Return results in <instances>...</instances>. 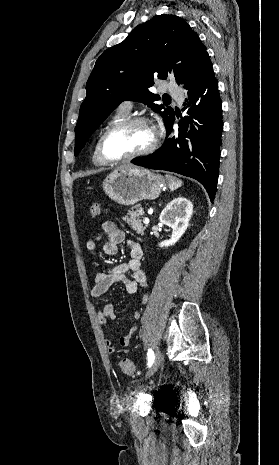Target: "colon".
<instances>
[{"instance_id": "obj_1", "label": "colon", "mask_w": 279, "mask_h": 465, "mask_svg": "<svg viewBox=\"0 0 279 465\" xmlns=\"http://www.w3.org/2000/svg\"><path fill=\"white\" fill-rule=\"evenodd\" d=\"M103 213V208L99 203H92L90 206V215L92 218H97ZM120 368L122 372L129 376H134L136 374V369L134 363L131 360L123 359L120 362Z\"/></svg>"}]
</instances>
